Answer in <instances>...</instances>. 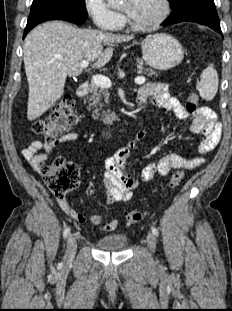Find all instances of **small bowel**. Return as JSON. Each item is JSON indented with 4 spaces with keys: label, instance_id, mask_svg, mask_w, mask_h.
<instances>
[{
    "label": "small bowel",
    "instance_id": "obj_1",
    "mask_svg": "<svg viewBox=\"0 0 232 311\" xmlns=\"http://www.w3.org/2000/svg\"><path fill=\"white\" fill-rule=\"evenodd\" d=\"M138 102H149L153 106L161 108L165 113H174L180 119L192 116L190 130L194 134L204 136L198 145L199 157L185 158L179 154L171 153L162 157L159 161L148 164L141 172L140 180L144 183L151 182L159 176H167L174 169L192 170L199 166L204 158L218 145L221 136V125L215 114L206 107L197 109L190 114L181 102L173 97L168 91V85L163 82L151 81L146 83L139 91ZM146 135L144 130L138 131L127 144L104 161V174L102 179L106 191V202L108 204L124 203L133 196L139 181L134 177L128 166V157L137 143ZM77 132H67L57 137L53 142H42L33 140L22 150V155L30 166L41 173L39 164L45 162L51 150L61 144L74 142L79 139ZM57 202L63 212L78 223L89 222L99 225L103 221L100 214H92L86 217L76 211L70 205L65 196H56ZM118 219H112L103 227L104 232H111L118 226Z\"/></svg>",
    "mask_w": 232,
    "mask_h": 311
}]
</instances>
